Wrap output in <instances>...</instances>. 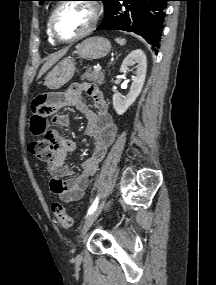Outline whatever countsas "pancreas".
Wrapping results in <instances>:
<instances>
[{
    "instance_id": "pancreas-1",
    "label": "pancreas",
    "mask_w": 216,
    "mask_h": 285,
    "mask_svg": "<svg viewBox=\"0 0 216 285\" xmlns=\"http://www.w3.org/2000/svg\"><path fill=\"white\" fill-rule=\"evenodd\" d=\"M104 76L105 74L103 71L96 72L89 69L81 76V80H88L102 85L104 83Z\"/></svg>"
}]
</instances>
